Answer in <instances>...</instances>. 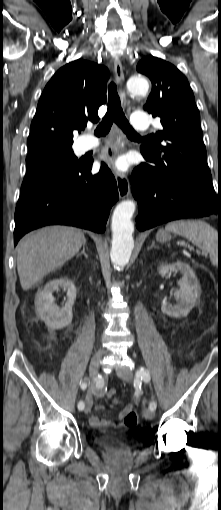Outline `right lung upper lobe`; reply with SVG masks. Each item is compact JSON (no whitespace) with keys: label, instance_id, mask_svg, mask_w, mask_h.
<instances>
[{"label":"right lung upper lobe","instance_id":"right-lung-upper-lobe-1","mask_svg":"<svg viewBox=\"0 0 221 510\" xmlns=\"http://www.w3.org/2000/svg\"><path fill=\"white\" fill-rule=\"evenodd\" d=\"M108 78L106 67L83 59L60 68L38 102L27 140L29 152L46 146L71 147L74 130L98 122Z\"/></svg>","mask_w":221,"mask_h":510}]
</instances>
